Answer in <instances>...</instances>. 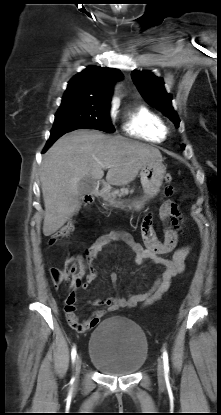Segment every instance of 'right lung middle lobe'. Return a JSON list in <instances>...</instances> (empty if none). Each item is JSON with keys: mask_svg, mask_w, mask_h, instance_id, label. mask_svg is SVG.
Listing matches in <instances>:
<instances>
[{"mask_svg": "<svg viewBox=\"0 0 221 415\" xmlns=\"http://www.w3.org/2000/svg\"><path fill=\"white\" fill-rule=\"evenodd\" d=\"M109 103L92 99L62 98L51 135H63L80 128L113 133L115 130L109 117Z\"/></svg>", "mask_w": 221, "mask_h": 415, "instance_id": "dd1d6c3e", "label": "right lung middle lobe"}]
</instances>
